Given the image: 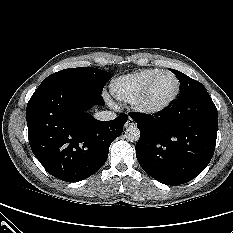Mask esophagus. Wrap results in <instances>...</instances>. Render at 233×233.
Returning <instances> with one entry per match:
<instances>
[{"label":"esophagus","instance_id":"obj_1","mask_svg":"<svg viewBox=\"0 0 233 233\" xmlns=\"http://www.w3.org/2000/svg\"><path fill=\"white\" fill-rule=\"evenodd\" d=\"M136 125V122L132 119V118H128L126 124H125V127H130V126H134Z\"/></svg>","mask_w":233,"mask_h":233}]
</instances>
